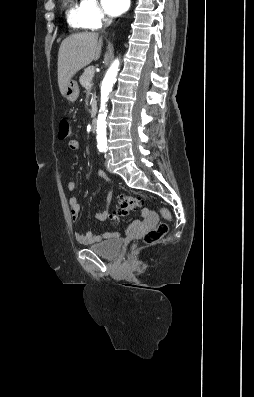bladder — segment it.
<instances>
[{"label": "bladder", "mask_w": 254, "mask_h": 397, "mask_svg": "<svg viewBox=\"0 0 254 397\" xmlns=\"http://www.w3.org/2000/svg\"><path fill=\"white\" fill-rule=\"evenodd\" d=\"M89 249L103 258L113 259L120 252L121 241L117 238L111 239L95 245H91L89 246Z\"/></svg>", "instance_id": "1"}]
</instances>
